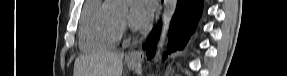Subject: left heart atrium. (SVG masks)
Listing matches in <instances>:
<instances>
[{
    "label": "left heart atrium",
    "mask_w": 287,
    "mask_h": 76,
    "mask_svg": "<svg viewBox=\"0 0 287 76\" xmlns=\"http://www.w3.org/2000/svg\"><path fill=\"white\" fill-rule=\"evenodd\" d=\"M154 4L150 0H134L129 13L130 24L136 29H142L150 22Z\"/></svg>",
    "instance_id": "left-heart-atrium-1"
}]
</instances>
